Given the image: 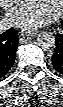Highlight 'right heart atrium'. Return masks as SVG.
<instances>
[{"mask_svg": "<svg viewBox=\"0 0 63 107\" xmlns=\"http://www.w3.org/2000/svg\"><path fill=\"white\" fill-rule=\"evenodd\" d=\"M14 1L12 0H6L5 1V7L8 8V7H11L12 5H14Z\"/></svg>", "mask_w": 63, "mask_h": 107, "instance_id": "right-heart-atrium-1", "label": "right heart atrium"}]
</instances>
